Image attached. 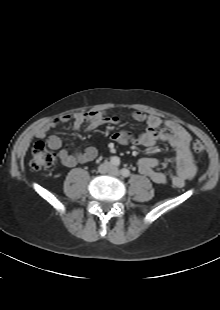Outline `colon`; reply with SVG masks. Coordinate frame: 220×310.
<instances>
[{
  "label": "colon",
  "instance_id": "1",
  "mask_svg": "<svg viewBox=\"0 0 220 310\" xmlns=\"http://www.w3.org/2000/svg\"><path fill=\"white\" fill-rule=\"evenodd\" d=\"M192 151L201 155L204 153V145L199 140H194L191 145ZM57 160L56 154L49 150L45 143L37 141L31 150L30 166L34 170H43L52 167Z\"/></svg>",
  "mask_w": 220,
  "mask_h": 310
}]
</instances>
